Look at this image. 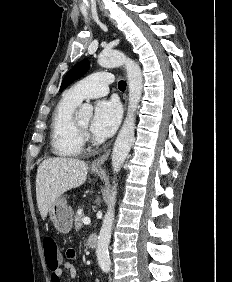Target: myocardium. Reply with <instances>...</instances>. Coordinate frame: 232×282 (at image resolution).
Listing matches in <instances>:
<instances>
[{
    "mask_svg": "<svg viewBox=\"0 0 232 282\" xmlns=\"http://www.w3.org/2000/svg\"><path fill=\"white\" fill-rule=\"evenodd\" d=\"M73 124H74V127L78 133V135L80 136V138L85 141V140H88L90 138V135H89V131H88V128H85L83 127L76 116H73Z\"/></svg>",
    "mask_w": 232,
    "mask_h": 282,
    "instance_id": "obj_1",
    "label": "myocardium"
}]
</instances>
